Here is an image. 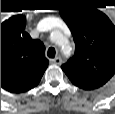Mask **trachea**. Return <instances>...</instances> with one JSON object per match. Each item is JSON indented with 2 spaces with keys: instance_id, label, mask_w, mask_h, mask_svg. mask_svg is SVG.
I'll return each mask as SVG.
<instances>
[{
  "instance_id": "3493384b",
  "label": "trachea",
  "mask_w": 115,
  "mask_h": 114,
  "mask_svg": "<svg viewBox=\"0 0 115 114\" xmlns=\"http://www.w3.org/2000/svg\"><path fill=\"white\" fill-rule=\"evenodd\" d=\"M55 54H56L55 49L52 48V47H50V48L48 49V52H47L48 57L54 58V57H55Z\"/></svg>"
}]
</instances>
